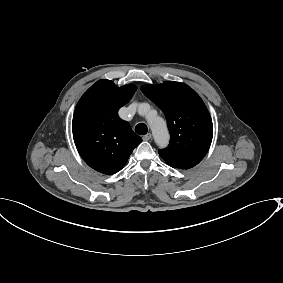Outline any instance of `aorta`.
Segmentation results:
<instances>
[{
    "label": "aorta",
    "instance_id": "obj_1",
    "mask_svg": "<svg viewBox=\"0 0 283 283\" xmlns=\"http://www.w3.org/2000/svg\"><path fill=\"white\" fill-rule=\"evenodd\" d=\"M148 109L149 105L144 103L139 106L138 111L141 115H144ZM146 117L152 130L156 144L159 147L167 146L169 142V133L167 130L166 123L163 121L162 118L158 116H152L150 113H147Z\"/></svg>",
    "mask_w": 283,
    "mask_h": 283
}]
</instances>
